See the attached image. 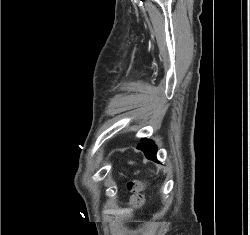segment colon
Returning <instances> with one entry per match:
<instances>
[{"label": "colon", "mask_w": 250, "mask_h": 235, "mask_svg": "<svg viewBox=\"0 0 250 235\" xmlns=\"http://www.w3.org/2000/svg\"><path fill=\"white\" fill-rule=\"evenodd\" d=\"M145 186V182L138 179H133L128 182V190L132 193L130 199L132 206L137 208L145 202Z\"/></svg>", "instance_id": "1"}]
</instances>
